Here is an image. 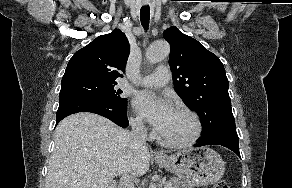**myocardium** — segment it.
<instances>
[{"label": "myocardium", "instance_id": "1", "mask_svg": "<svg viewBox=\"0 0 292 188\" xmlns=\"http://www.w3.org/2000/svg\"><path fill=\"white\" fill-rule=\"evenodd\" d=\"M175 110L180 111L186 115H188L194 124V132L193 134L188 137L187 139L180 140V141H173L166 139L163 137L160 133L157 134V139L165 146L171 147V148H182V147H187L192 144H194L200 137L203 131V125L200 117L196 112L193 110L189 109L186 106L183 105H178L175 107Z\"/></svg>", "mask_w": 292, "mask_h": 188}]
</instances>
